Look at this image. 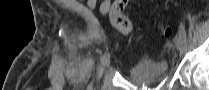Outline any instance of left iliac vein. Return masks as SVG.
Masks as SVG:
<instances>
[{"mask_svg":"<svg viewBox=\"0 0 209 90\" xmlns=\"http://www.w3.org/2000/svg\"><path fill=\"white\" fill-rule=\"evenodd\" d=\"M185 44L186 41H184L182 38H177L175 40L176 48L179 50L180 54H183L185 52Z\"/></svg>","mask_w":209,"mask_h":90,"instance_id":"1","label":"left iliac vein"}]
</instances>
